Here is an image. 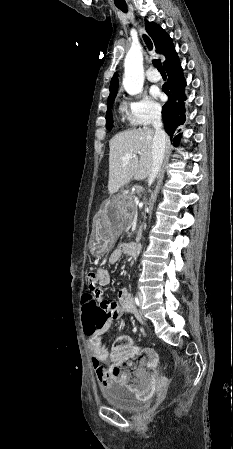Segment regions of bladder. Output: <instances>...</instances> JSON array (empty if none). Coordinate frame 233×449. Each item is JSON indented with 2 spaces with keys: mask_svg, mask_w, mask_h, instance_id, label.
Here are the masks:
<instances>
[{
  "mask_svg": "<svg viewBox=\"0 0 233 449\" xmlns=\"http://www.w3.org/2000/svg\"><path fill=\"white\" fill-rule=\"evenodd\" d=\"M105 401L114 409L136 411L147 407L148 401L138 400L130 388L123 385H111L102 392Z\"/></svg>",
  "mask_w": 233,
  "mask_h": 449,
  "instance_id": "31cf9c89",
  "label": "bladder"
}]
</instances>
